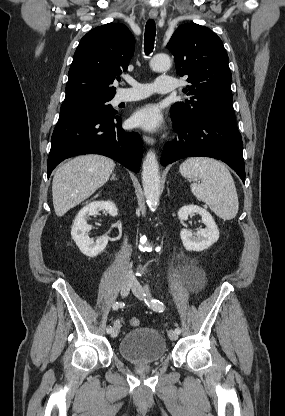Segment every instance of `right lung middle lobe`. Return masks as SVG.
Returning a JSON list of instances; mask_svg holds the SVG:
<instances>
[{
	"label": "right lung middle lobe",
	"mask_w": 285,
	"mask_h": 416,
	"mask_svg": "<svg viewBox=\"0 0 285 416\" xmlns=\"http://www.w3.org/2000/svg\"><path fill=\"white\" fill-rule=\"evenodd\" d=\"M109 99H78L64 101L60 108L59 118L82 115H115L116 110L108 103Z\"/></svg>",
	"instance_id": "1"
}]
</instances>
